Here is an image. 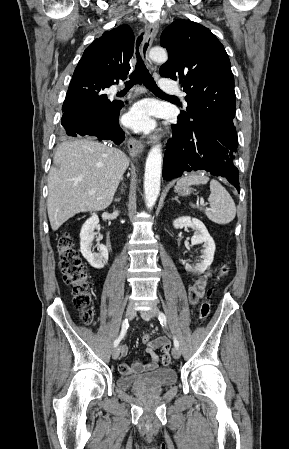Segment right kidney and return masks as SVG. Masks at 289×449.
<instances>
[{"instance_id": "ca27d5eb", "label": "right kidney", "mask_w": 289, "mask_h": 449, "mask_svg": "<svg viewBox=\"0 0 289 449\" xmlns=\"http://www.w3.org/2000/svg\"><path fill=\"white\" fill-rule=\"evenodd\" d=\"M99 218L93 214L85 221L80 231V251L88 263L96 269H101L108 261V249L105 245L97 243L98 252H93L92 242L95 237L94 230L98 226Z\"/></svg>"}]
</instances>
